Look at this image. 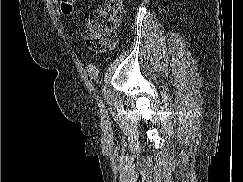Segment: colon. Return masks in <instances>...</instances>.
<instances>
[{"label":"colon","mask_w":243,"mask_h":182,"mask_svg":"<svg viewBox=\"0 0 243 182\" xmlns=\"http://www.w3.org/2000/svg\"><path fill=\"white\" fill-rule=\"evenodd\" d=\"M76 0H61L63 14L73 11ZM122 12V0H104L103 4L89 13L85 38L87 45L96 52L111 49L117 42L115 33Z\"/></svg>","instance_id":"obj_1"}]
</instances>
